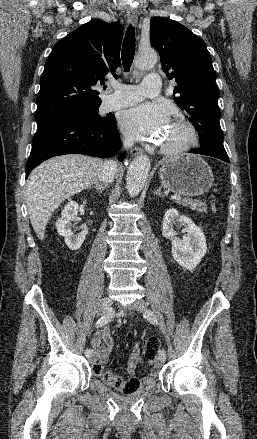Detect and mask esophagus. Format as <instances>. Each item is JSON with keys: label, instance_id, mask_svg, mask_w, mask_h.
I'll return each instance as SVG.
<instances>
[{"label": "esophagus", "instance_id": "1", "mask_svg": "<svg viewBox=\"0 0 257 439\" xmlns=\"http://www.w3.org/2000/svg\"><path fill=\"white\" fill-rule=\"evenodd\" d=\"M127 19L129 23L136 25L137 23V11L132 6L126 7ZM132 156H137L143 154V150L141 148L135 147L130 150Z\"/></svg>", "mask_w": 257, "mask_h": 439}]
</instances>
